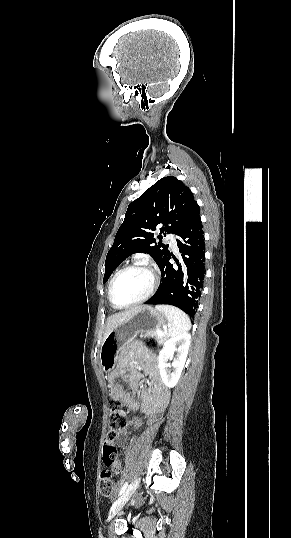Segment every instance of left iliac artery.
<instances>
[{
    "label": "left iliac artery",
    "instance_id": "1",
    "mask_svg": "<svg viewBox=\"0 0 291 538\" xmlns=\"http://www.w3.org/2000/svg\"><path fill=\"white\" fill-rule=\"evenodd\" d=\"M127 486H128V482H125V484H124V485H123V486L121 487V489H120V492H119V495H118V496H121V495H122V494H123V493L125 492V490H126Z\"/></svg>",
    "mask_w": 291,
    "mask_h": 538
}]
</instances>
